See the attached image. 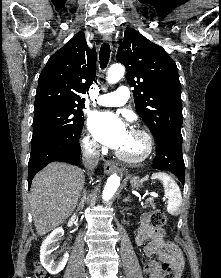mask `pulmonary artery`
<instances>
[{
    "label": "pulmonary artery",
    "mask_w": 221,
    "mask_h": 278,
    "mask_svg": "<svg viewBox=\"0 0 221 278\" xmlns=\"http://www.w3.org/2000/svg\"><path fill=\"white\" fill-rule=\"evenodd\" d=\"M129 98V90L126 86H120L115 92L103 94L96 99L100 106L117 107L124 105Z\"/></svg>",
    "instance_id": "pulmonary-artery-1"
}]
</instances>
